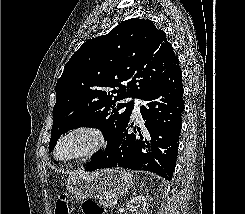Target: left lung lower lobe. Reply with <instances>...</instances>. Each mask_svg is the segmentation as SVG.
I'll return each instance as SVG.
<instances>
[{
    "mask_svg": "<svg viewBox=\"0 0 245 214\" xmlns=\"http://www.w3.org/2000/svg\"><path fill=\"white\" fill-rule=\"evenodd\" d=\"M182 72L179 64L150 92L140 108L145 125L128 133V123L116 140L102 153L95 154L85 171L124 167L150 171L171 180L175 169L181 119L184 111Z\"/></svg>",
    "mask_w": 245,
    "mask_h": 214,
    "instance_id": "0a47b994",
    "label": "left lung lower lobe"
}]
</instances>
